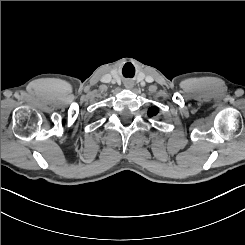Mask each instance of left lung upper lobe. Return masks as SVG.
<instances>
[{
	"instance_id": "left-lung-upper-lobe-1",
	"label": "left lung upper lobe",
	"mask_w": 245,
	"mask_h": 245,
	"mask_svg": "<svg viewBox=\"0 0 245 245\" xmlns=\"http://www.w3.org/2000/svg\"><path fill=\"white\" fill-rule=\"evenodd\" d=\"M157 113H158V108H156V107H152L148 110V116L149 117L155 116V115H157Z\"/></svg>"
}]
</instances>
